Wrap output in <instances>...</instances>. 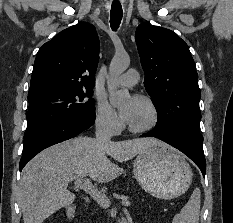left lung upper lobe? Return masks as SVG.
Listing matches in <instances>:
<instances>
[{"label":"left lung upper lobe","mask_w":233,"mask_h":223,"mask_svg":"<svg viewBox=\"0 0 233 223\" xmlns=\"http://www.w3.org/2000/svg\"><path fill=\"white\" fill-rule=\"evenodd\" d=\"M144 86L157 110L156 128L199 132L198 75L187 44L173 31L148 23L136 29Z\"/></svg>","instance_id":"1"}]
</instances>
